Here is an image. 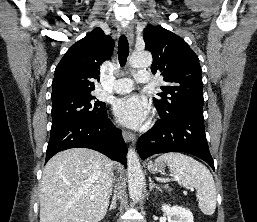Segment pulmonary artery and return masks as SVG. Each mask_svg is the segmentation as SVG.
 Listing matches in <instances>:
<instances>
[{
	"mask_svg": "<svg viewBox=\"0 0 257 222\" xmlns=\"http://www.w3.org/2000/svg\"><path fill=\"white\" fill-rule=\"evenodd\" d=\"M135 81L138 83L147 84L150 82V73L147 71H140L135 75ZM133 88V81L128 78L119 79L114 82L112 90L115 93H126Z\"/></svg>",
	"mask_w": 257,
	"mask_h": 222,
	"instance_id": "pulmonary-artery-1",
	"label": "pulmonary artery"
}]
</instances>
